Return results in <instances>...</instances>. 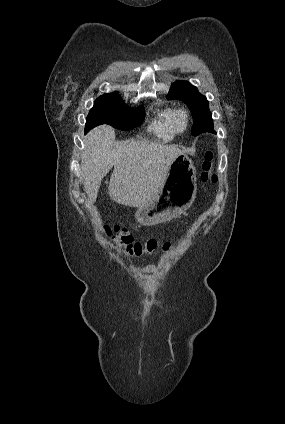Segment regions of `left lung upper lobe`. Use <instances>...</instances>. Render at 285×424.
<instances>
[{"mask_svg":"<svg viewBox=\"0 0 285 424\" xmlns=\"http://www.w3.org/2000/svg\"><path fill=\"white\" fill-rule=\"evenodd\" d=\"M168 99L183 101L193 116L192 135L197 136L203 132H213V119L209 110V103L197 88L187 81H176L172 84L167 95Z\"/></svg>","mask_w":285,"mask_h":424,"instance_id":"1","label":"left lung upper lobe"}]
</instances>
